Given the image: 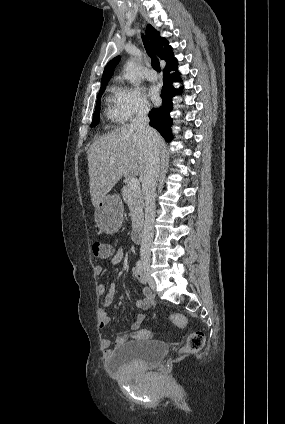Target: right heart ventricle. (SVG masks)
<instances>
[{
	"label": "right heart ventricle",
	"instance_id": "right-heart-ventricle-1",
	"mask_svg": "<svg viewBox=\"0 0 285 424\" xmlns=\"http://www.w3.org/2000/svg\"><path fill=\"white\" fill-rule=\"evenodd\" d=\"M104 117L107 127H113L124 122L118 102V88L110 87L109 94L105 98Z\"/></svg>",
	"mask_w": 285,
	"mask_h": 424
}]
</instances>
